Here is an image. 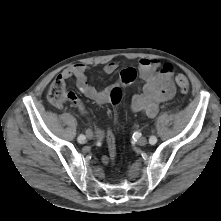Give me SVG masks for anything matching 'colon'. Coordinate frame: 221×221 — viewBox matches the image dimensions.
<instances>
[{"instance_id":"colon-1","label":"colon","mask_w":221,"mask_h":221,"mask_svg":"<svg viewBox=\"0 0 221 221\" xmlns=\"http://www.w3.org/2000/svg\"><path fill=\"white\" fill-rule=\"evenodd\" d=\"M165 72H172L173 68L170 64H165L162 68ZM175 82L181 92L186 93L189 91V81L188 78L183 74H177L175 76ZM124 85L127 84V82L123 83ZM111 101L113 104H118L122 99V91L119 86H115L111 90ZM48 100L55 105H60L64 103L65 101L73 102L77 104L79 99L73 92H68L65 87V83L60 80H54L52 84L49 87L48 94H47ZM115 133L114 130H110L108 133V150L109 154L112 156V160L116 158V144H115Z\"/></svg>"}]
</instances>
